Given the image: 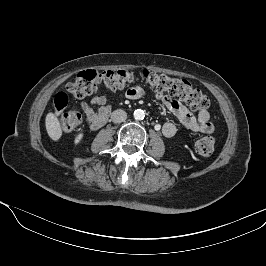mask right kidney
Segmentation results:
<instances>
[{
  "mask_svg": "<svg viewBox=\"0 0 266 266\" xmlns=\"http://www.w3.org/2000/svg\"><path fill=\"white\" fill-rule=\"evenodd\" d=\"M82 138H83V133L78 134L74 141L75 144H78L82 140Z\"/></svg>",
  "mask_w": 266,
  "mask_h": 266,
  "instance_id": "ca27d5eb",
  "label": "right kidney"
}]
</instances>
